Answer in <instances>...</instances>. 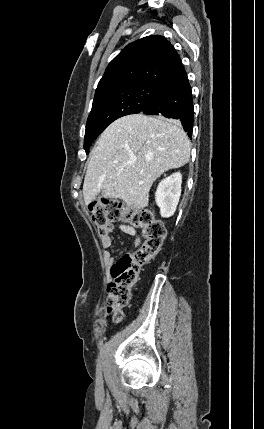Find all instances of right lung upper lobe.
Returning a JSON list of instances; mask_svg holds the SVG:
<instances>
[{
	"mask_svg": "<svg viewBox=\"0 0 264 429\" xmlns=\"http://www.w3.org/2000/svg\"><path fill=\"white\" fill-rule=\"evenodd\" d=\"M182 64L166 38L147 36L127 45L108 65L95 98L138 84L159 86Z\"/></svg>",
	"mask_w": 264,
	"mask_h": 429,
	"instance_id": "obj_1",
	"label": "right lung upper lobe"
}]
</instances>
